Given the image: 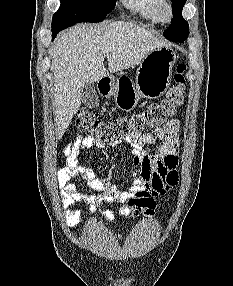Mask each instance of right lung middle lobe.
I'll use <instances>...</instances> for the list:
<instances>
[{
	"label": "right lung middle lobe",
	"mask_w": 233,
	"mask_h": 286,
	"mask_svg": "<svg viewBox=\"0 0 233 286\" xmlns=\"http://www.w3.org/2000/svg\"><path fill=\"white\" fill-rule=\"evenodd\" d=\"M61 5L53 15L52 28L75 25L79 22H100L110 13L114 0H60Z\"/></svg>",
	"instance_id": "1"
}]
</instances>
